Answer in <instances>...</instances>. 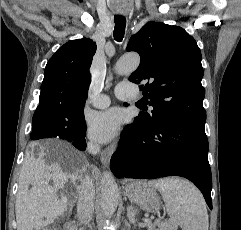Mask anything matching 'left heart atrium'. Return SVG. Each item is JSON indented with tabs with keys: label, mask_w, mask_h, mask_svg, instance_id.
<instances>
[{
	"label": "left heart atrium",
	"mask_w": 241,
	"mask_h": 230,
	"mask_svg": "<svg viewBox=\"0 0 241 230\" xmlns=\"http://www.w3.org/2000/svg\"><path fill=\"white\" fill-rule=\"evenodd\" d=\"M121 116L116 108L98 112L93 115L89 124V136L101 143L113 139L120 127Z\"/></svg>",
	"instance_id": "39dd6f15"
}]
</instances>
